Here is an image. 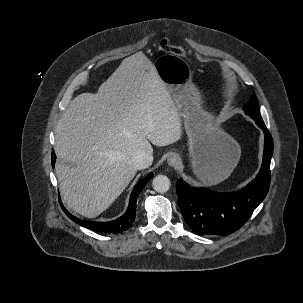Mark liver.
Listing matches in <instances>:
<instances>
[{
	"label": "liver",
	"instance_id": "liver-1",
	"mask_svg": "<svg viewBox=\"0 0 303 303\" xmlns=\"http://www.w3.org/2000/svg\"><path fill=\"white\" fill-rule=\"evenodd\" d=\"M181 116L142 51L125 58L96 94L75 97L55 130L56 176L67 207L88 218L105 211L134 178L136 153L181 138Z\"/></svg>",
	"mask_w": 303,
	"mask_h": 303
}]
</instances>
